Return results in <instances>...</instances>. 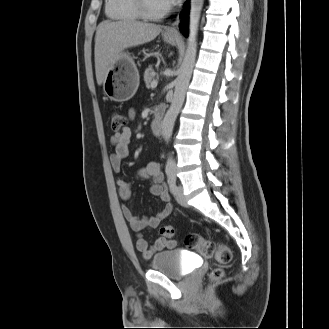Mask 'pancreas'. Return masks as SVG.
Wrapping results in <instances>:
<instances>
[{
  "instance_id": "pancreas-1",
  "label": "pancreas",
  "mask_w": 329,
  "mask_h": 329,
  "mask_svg": "<svg viewBox=\"0 0 329 329\" xmlns=\"http://www.w3.org/2000/svg\"><path fill=\"white\" fill-rule=\"evenodd\" d=\"M154 77V70L153 68L150 66L148 67L145 72H144V81L146 84V87L149 88L151 85V82L153 80Z\"/></svg>"
}]
</instances>
